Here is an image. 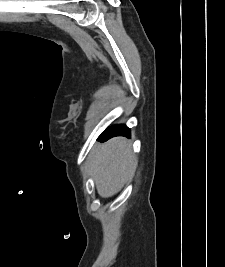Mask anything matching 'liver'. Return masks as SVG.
<instances>
[{
    "mask_svg": "<svg viewBox=\"0 0 225 267\" xmlns=\"http://www.w3.org/2000/svg\"><path fill=\"white\" fill-rule=\"evenodd\" d=\"M136 167L137 159L130 141L116 137L94 146L85 162L84 173L93 177L98 194L108 198L133 178Z\"/></svg>",
    "mask_w": 225,
    "mask_h": 267,
    "instance_id": "obj_1",
    "label": "liver"
}]
</instances>
